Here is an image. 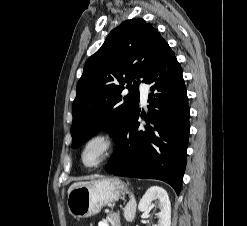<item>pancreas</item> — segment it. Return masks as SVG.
<instances>
[{
  "instance_id": "pancreas-1",
  "label": "pancreas",
  "mask_w": 247,
  "mask_h": 226,
  "mask_svg": "<svg viewBox=\"0 0 247 226\" xmlns=\"http://www.w3.org/2000/svg\"><path fill=\"white\" fill-rule=\"evenodd\" d=\"M114 219V217L112 215H110L108 221H112ZM107 221V220H106Z\"/></svg>"
}]
</instances>
